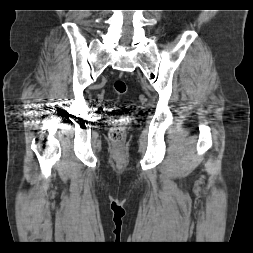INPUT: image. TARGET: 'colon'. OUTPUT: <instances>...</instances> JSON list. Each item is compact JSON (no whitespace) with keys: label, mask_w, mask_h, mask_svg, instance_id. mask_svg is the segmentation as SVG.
Wrapping results in <instances>:
<instances>
[{"label":"colon","mask_w":253,"mask_h":253,"mask_svg":"<svg viewBox=\"0 0 253 253\" xmlns=\"http://www.w3.org/2000/svg\"><path fill=\"white\" fill-rule=\"evenodd\" d=\"M113 88L118 95H124L127 93L128 87L124 80H116L113 83ZM126 118L121 116L116 121L110 130V138L115 143H121L126 137Z\"/></svg>","instance_id":"5ec220e1"}]
</instances>
